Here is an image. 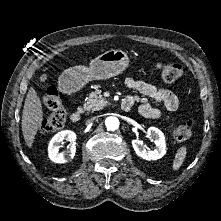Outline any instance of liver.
Masks as SVG:
<instances>
[{
  "label": "liver",
  "instance_id": "obj_1",
  "mask_svg": "<svg viewBox=\"0 0 221 221\" xmlns=\"http://www.w3.org/2000/svg\"><path fill=\"white\" fill-rule=\"evenodd\" d=\"M43 116L41 100L36 90L31 87L24 102L21 124L23 137L29 148L32 147L37 131L41 127Z\"/></svg>",
  "mask_w": 221,
  "mask_h": 221
}]
</instances>
